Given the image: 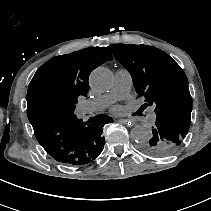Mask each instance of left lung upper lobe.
<instances>
[{
	"instance_id": "left-lung-upper-lobe-1",
	"label": "left lung upper lobe",
	"mask_w": 211,
	"mask_h": 211,
	"mask_svg": "<svg viewBox=\"0 0 211 211\" xmlns=\"http://www.w3.org/2000/svg\"><path fill=\"white\" fill-rule=\"evenodd\" d=\"M130 72L138 95L156 114L152 138L141 145L151 156L177 151L186 137L192 111L188 80L180 66L165 52L148 45L116 44L107 47Z\"/></svg>"
}]
</instances>
